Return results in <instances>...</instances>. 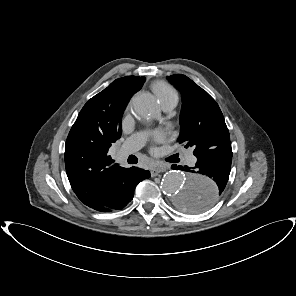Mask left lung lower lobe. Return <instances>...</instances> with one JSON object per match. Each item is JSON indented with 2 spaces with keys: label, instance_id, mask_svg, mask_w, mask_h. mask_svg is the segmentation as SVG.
<instances>
[{
  "label": "left lung lower lobe",
  "instance_id": "0a47b994",
  "mask_svg": "<svg viewBox=\"0 0 296 296\" xmlns=\"http://www.w3.org/2000/svg\"><path fill=\"white\" fill-rule=\"evenodd\" d=\"M195 167L173 165V169H180L189 172V177L208 176L216 183L214 191H205L198 196L192 197L186 203V208L191 213H198L210 208L223 193L228 182L231 162L232 149L231 143L225 144L219 148L217 152H208L203 157L197 158Z\"/></svg>",
  "mask_w": 296,
  "mask_h": 296
}]
</instances>
